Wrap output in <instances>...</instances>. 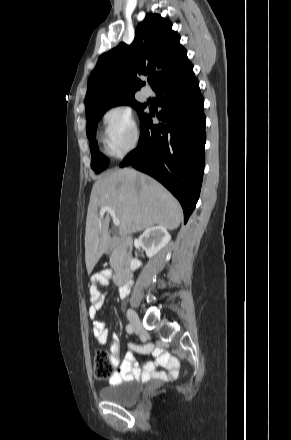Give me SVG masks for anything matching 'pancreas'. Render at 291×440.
<instances>
[{"mask_svg":"<svg viewBox=\"0 0 291 440\" xmlns=\"http://www.w3.org/2000/svg\"><path fill=\"white\" fill-rule=\"evenodd\" d=\"M109 251L111 252L110 264L112 267H115L118 264L122 247L117 243H111L109 246Z\"/></svg>","mask_w":291,"mask_h":440,"instance_id":"cf45deb5","label":"pancreas"}]
</instances>
